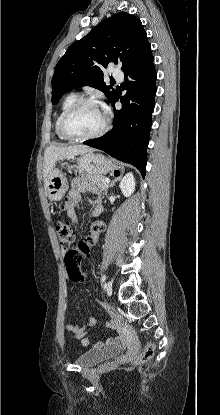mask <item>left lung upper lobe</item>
<instances>
[{
	"instance_id": "1",
	"label": "left lung upper lobe",
	"mask_w": 220,
	"mask_h": 415,
	"mask_svg": "<svg viewBox=\"0 0 220 415\" xmlns=\"http://www.w3.org/2000/svg\"><path fill=\"white\" fill-rule=\"evenodd\" d=\"M152 56L141 21L126 12L105 19L88 35L74 42L59 60L52 80V104L67 91L89 85L109 99L115 90L103 81L108 63L122 64V71L143 64Z\"/></svg>"
}]
</instances>
